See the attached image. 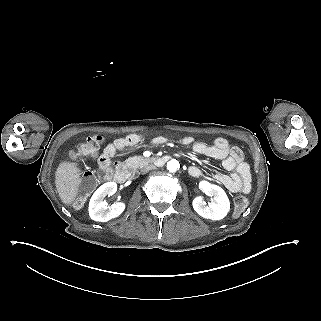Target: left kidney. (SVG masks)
Here are the masks:
<instances>
[{
	"label": "left kidney",
	"mask_w": 321,
	"mask_h": 321,
	"mask_svg": "<svg viewBox=\"0 0 321 321\" xmlns=\"http://www.w3.org/2000/svg\"><path fill=\"white\" fill-rule=\"evenodd\" d=\"M199 188L208 196L213 197V200L206 205L202 196H198L193 200L194 210L203 218L211 220L223 219L230 210V202L225 191L208 181H200Z\"/></svg>",
	"instance_id": "1"
}]
</instances>
